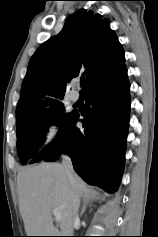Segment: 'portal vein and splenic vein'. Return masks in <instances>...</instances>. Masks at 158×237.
<instances>
[{
    "label": "portal vein and splenic vein",
    "instance_id": "1",
    "mask_svg": "<svg viewBox=\"0 0 158 237\" xmlns=\"http://www.w3.org/2000/svg\"><path fill=\"white\" fill-rule=\"evenodd\" d=\"M53 214H54V216H55V219L57 220V221H59L60 219H61V214H60V212H59V210L57 209V208H53Z\"/></svg>",
    "mask_w": 158,
    "mask_h": 237
}]
</instances>
